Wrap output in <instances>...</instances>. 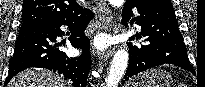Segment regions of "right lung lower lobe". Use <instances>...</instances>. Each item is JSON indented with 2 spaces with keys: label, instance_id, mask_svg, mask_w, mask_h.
I'll list each match as a JSON object with an SVG mask.
<instances>
[{
  "label": "right lung lower lobe",
  "instance_id": "1",
  "mask_svg": "<svg viewBox=\"0 0 205 87\" xmlns=\"http://www.w3.org/2000/svg\"><path fill=\"white\" fill-rule=\"evenodd\" d=\"M93 17L91 10L83 9L65 21L21 30L15 44L14 55L9 62V74L5 84L19 72L37 67L63 75L72 81L74 87H86L91 55L90 40L84 31ZM62 25H69L72 29L69 40L74 48L82 50L80 57L69 58L58 49L59 44L55 42L58 36L64 34L60 29Z\"/></svg>",
  "mask_w": 205,
  "mask_h": 87
}]
</instances>
